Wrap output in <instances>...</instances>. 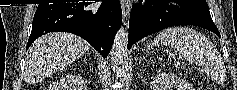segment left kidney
<instances>
[{"label":"left kidney","mask_w":237,"mask_h":90,"mask_svg":"<svg viewBox=\"0 0 237 90\" xmlns=\"http://www.w3.org/2000/svg\"><path fill=\"white\" fill-rule=\"evenodd\" d=\"M152 90H193V86L174 74H158L152 82Z\"/></svg>","instance_id":"left-kidney-1"}]
</instances>
